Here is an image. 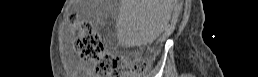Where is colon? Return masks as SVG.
Segmentation results:
<instances>
[{"instance_id": "obj_1", "label": "colon", "mask_w": 258, "mask_h": 77, "mask_svg": "<svg viewBox=\"0 0 258 77\" xmlns=\"http://www.w3.org/2000/svg\"><path fill=\"white\" fill-rule=\"evenodd\" d=\"M75 17L71 16V20ZM81 34L76 38L75 49L81 59L96 61L98 74H117L125 69H130L133 74H141L146 69L143 60H128L123 57L106 53L98 33L90 24L82 23L79 26Z\"/></svg>"}]
</instances>
